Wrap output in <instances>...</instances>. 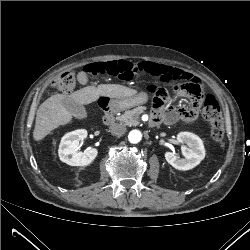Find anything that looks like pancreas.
Here are the masks:
<instances>
[{"label":"pancreas","instance_id":"cf45deb5","mask_svg":"<svg viewBox=\"0 0 250 250\" xmlns=\"http://www.w3.org/2000/svg\"><path fill=\"white\" fill-rule=\"evenodd\" d=\"M146 110L145 106H139L133 110L125 111L123 115L117 117V121L124 125L135 126L138 125V119L141 113Z\"/></svg>","mask_w":250,"mask_h":250}]
</instances>
